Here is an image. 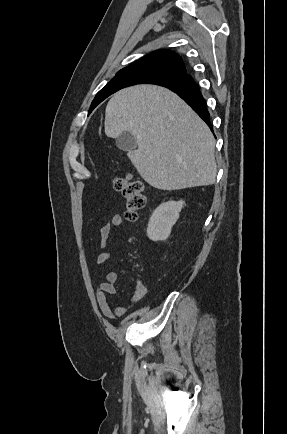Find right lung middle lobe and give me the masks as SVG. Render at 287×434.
<instances>
[{
  "mask_svg": "<svg viewBox=\"0 0 287 434\" xmlns=\"http://www.w3.org/2000/svg\"><path fill=\"white\" fill-rule=\"evenodd\" d=\"M179 77L173 73L153 68H139L126 72H118L95 96L89 113L104 99L116 91L135 84H156L162 81H173Z\"/></svg>",
  "mask_w": 287,
  "mask_h": 434,
  "instance_id": "dd1d6c3e",
  "label": "right lung middle lobe"
}]
</instances>
